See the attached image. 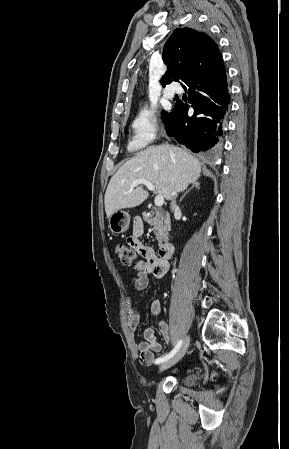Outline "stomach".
Returning a JSON list of instances; mask_svg holds the SVG:
<instances>
[{
	"mask_svg": "<svg viewBox=\"0 0 289 449\" xmlns=\"http://www.w3.org/2000/svg\"><path fill=\"white\" fill-rule=\"evenodd\" d=\"M130 215L126 211L118 210L109 217V228L112 233L120 234L129 228Z\"/></svg>",
	"mask_w": 289,
	"mask_h": 449,
	"instance_id": "stomach-1",
	"label": "stomach"
}]
</instances>
